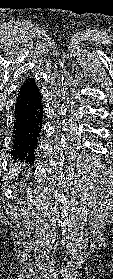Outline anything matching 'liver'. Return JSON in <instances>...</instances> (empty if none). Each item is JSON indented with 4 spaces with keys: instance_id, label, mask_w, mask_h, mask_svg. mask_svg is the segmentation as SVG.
Listing matches in <instances>:
<instances>
[{
    "instance_id": "6515ba94",
    "label": "liver",
    "mask_w": 113,
    "mask_h": 279,
    "mask_svg": "<svg viewBox=\"0 0 113 279\" xmlns=\"http://www.w3.org/2000/svg\"><path fill=\"white\" fill-rule=\"evenodd\" d=\"M21 171V164L20 162H15L13 164L10 165L8 174H7V180L8 179H13L15 176H17L19 174V172Z\"/></svg>"
}]
</instances>
